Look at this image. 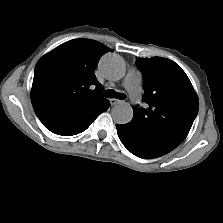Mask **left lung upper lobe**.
<instances>
[{"label":"left lung upper lobe","instance_id":"left-lung-upper-lobe-1","mask_svg":"<svg viewBox=\"0 0 223 223\" xmlns=\"http://www.w3.org/2000/svg\"><path fill=\"white\" fill-rule=\"evenodd\" d=\"M144 78L146 108L134 107L130 125L141 139L170 151L188 135L199 103L185 72L175 62L153 57L137 60Z\"/></svg>","mask_w":223,"mask_h":223}]
</instances>
